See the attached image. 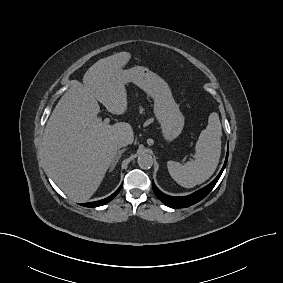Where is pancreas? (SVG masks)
<instances>
[{
  "label": "pancreas",
  "instance_id": "pancreas-1",
  "mask_svg": "<svg viewBox=\"0 0 283 283\" xmlns=\"http://www.w3.org/2000/svg\"><path fill=\"white\" fill-rule=\"evenodd\" d=\"M139 112H140L141 114H143V113H144V108L140 107V108H139Z\"/></svg>",
  "mask_w": 283,
  "mask_h": 283
}]
</instances>
